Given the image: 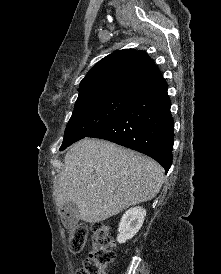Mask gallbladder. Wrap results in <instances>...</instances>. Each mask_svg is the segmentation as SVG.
Instances as JSON below:
<instances>
[{"instance_id":"obj_1","label":"gallbladder","mask_w":221,"mask_h":274,"mask_svg":"<svg viewBox=\"0 0 221 274\" xmlns=\"http://www.w3.org/2000/svg\"><path fill=\"white\" fill-rule=\"evenodd\" d=\"M66 207L69 212L68 213L69 221L72 222L73 224L78 223V221H79V207L73 202L69 203Z\"/></svg>"}]
</instances>
